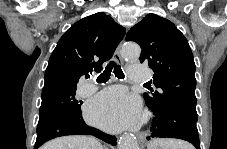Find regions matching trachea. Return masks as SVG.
<instances>
[{
  "label": "trachea",
  "instance_id": "trachea-1",
  "mask_svg": "<svg viewBox=\"0 0 227 149\" xmlns=\"http://www.w3.org/2000/svg\"><path fill=\"white\" fill-rule=\"evenodd\" d=\"M112 72L115 74V76L118 79L124 78V73L121 69V66L112 61L106 66L105 70L98 76V78L96 79L97 82L105 83L106 81H108L110 79ZM86 77L90 78L89 75H87Z\"/></svg>",
  "mask_w": 227,
  "mask_h": 149
}]
</instances>
